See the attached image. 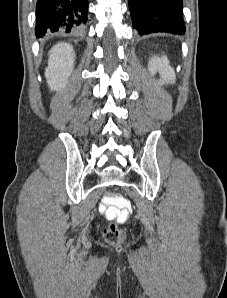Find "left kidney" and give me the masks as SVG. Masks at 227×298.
Instances as JSON below:
<instances>
[{"label": "left kidney", "instance_id": "obj_1", "mask_svg": "<svg viewBox=\"0 0 227 298\" xmlns=\"http://www.w3.org/2000/svg\"><path fill=\"white\" fill-rule=\"evenodd\" d=\"M149 70L152 74L157 71L161 75L163 83H175L176 76L173 68L169 65V60L166 56H154L148 62Z\"/></svg>", "mask_w": 227, "mask_h": 298}]
</instances>
